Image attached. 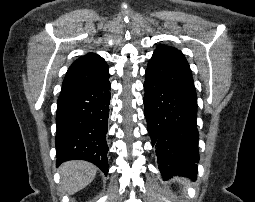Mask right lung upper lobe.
Segmentation results:
<instances>
[{
  "label": "right lung upper lobe",
  "instance_id": "obj_1",
  "mask_svg": "<svg viewBox=\"0 0 255 202\" xmlns=\"http://www.w3.org/2000/svg\"><path fill=\"white\" fill-rule=\"evenodd\" d=\"M109 78L105 60L89 53L78 58L68 69L62 84V91L95 85Z\"/></svg>",
  "mask_w": 255,
  "mask_h": 202
}]
</instances>
